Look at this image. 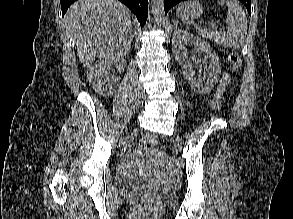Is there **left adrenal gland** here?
Listing matches in <instances>:
<instances>
[{"label":"left adrenal gland","instance_id":"a2214340","mask_svg":"<svg viewBox=\"0 0 293 219\" xmlns=\"http://www.w3.org/2000/svg\"><path fill=\"white\" fill-rule=\"evenodd\" d=\"M178 25V20H175V27H177Z\"/></svg>","mask_w":293,"mask_h":219}]
</instances>
